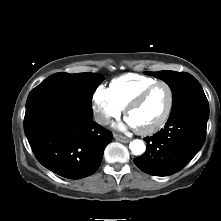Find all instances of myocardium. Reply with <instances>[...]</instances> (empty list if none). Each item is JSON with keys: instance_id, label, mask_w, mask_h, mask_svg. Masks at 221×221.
Wrapping results in <instances>:
<instances>
[{"instance_id": "1", "label": "myocardium", "mask_w": 221, "mask_h": 221, "mask_svg": "<svg viewBox=\"0 0 221 221\" xmlns=\"http://www.w3.org/2000/svg\"><path fill=\"white\" fill-rule=\"evenodd\" d=\"M163 85L167 88L168 94H169V101L166 108V111L163 115V117L160 119L158 123H156L154 126L146 129H137L135 128L136 132L140 135L148 136L157 133L160 131L167 121L169 120L173 106H174V92L170 84H168L165 81H156L149 86H147L145 89H143L136 97H134L128 105L125 107L124 115L128 119V116L132 110H134L136 107H138L140 104L143 103V101L148 97V95L157 87Z\"/></svg>"}]
</instances>
